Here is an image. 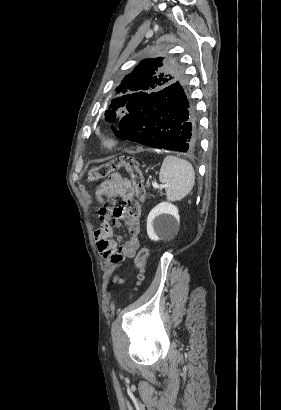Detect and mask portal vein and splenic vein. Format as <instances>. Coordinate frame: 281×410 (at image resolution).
<instances>
[{
	"label": "portal vein and splenic vein",
	"instance_id": "1",
	"mask_svg": "<svg viewBox=\"0 0 281 410\" xmlns=\"http://www.w3.org/2000/svg\"><path fill=\"white\" fill-rule=\"evenodd\" d=\"M152 186H153L154 188H161L156 182H152Z\"/></svg>",
	"mask_w": 281,
	"mask_h": 410
}]
</instances>
